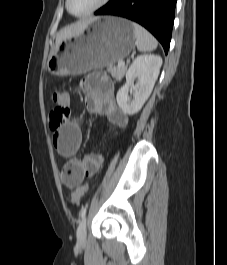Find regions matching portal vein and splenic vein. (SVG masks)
Segmentation results:
<instances>
[{
  "label": "portal vein and splenic vein",
  "instance_id": "18ae733b",
  "mask_svg": "<svg viewBox=\"0 0 227 265\" xmlns=\"http://www.w3.org/2000/svg\"><path fill=\"white\" fill-rule=\"evenodd\" d=\"M125 66V62L124 61H119L118 62V67H123Z\"/></svg>",
  "mask_w": 227,
  "mask_h": 265
}]
</instances>
